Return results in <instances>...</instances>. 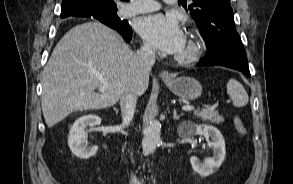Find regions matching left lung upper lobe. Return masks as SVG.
Instances as JSON below:
<instances>
[{
  "instance_id": "5c2ea615",
  "label": "left lung upper lobe",
  "mask_w": 293,
  "mask_h": 184,
  "mask_svg": "<svg viewBox=\"0 0 293 184\" xmlns=\"http://www.w3.org/2000/svg\"><path fill=\"white\" fill-rule=\"evenodd\" d=\"M179 0L186 10L190 11L204 38L208 52H216L221 38L237 33L230 0Z\"/></svg>"
}]
</instances>
